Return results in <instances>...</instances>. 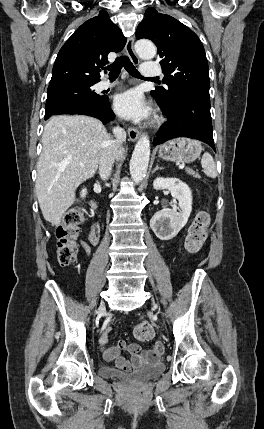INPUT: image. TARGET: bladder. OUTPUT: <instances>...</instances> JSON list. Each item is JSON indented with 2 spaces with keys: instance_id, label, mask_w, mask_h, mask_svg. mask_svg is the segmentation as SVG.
Wrapping results in <instances>:
<instances>
[{
  "instance_id": "1",
  "label": "bladder",
  "mask_w": 264,
  "mask_h": 429,
  "mask_svg": "<svg viewBox=\"0 0 264 429\" xmlns=\"http://www.w3.org/2000/svg\"><path fill=\"white\" fill-rule=\"evenodd\" d=\"M164 370L165 365L161 360H158L153 364L137 368L127 373L116 371L110 367H102L99 370V374L106 378H118L134 383H142L160 376Z\"/></svg>"
}]
</instances>
